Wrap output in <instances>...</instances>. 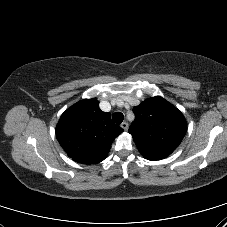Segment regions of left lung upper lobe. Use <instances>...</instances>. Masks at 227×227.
Segmentation results:
<instances>
[{
  "mask_svg": "<svg viewBox=\"0 0 227 227\" xmlns=\"http://www.w3.org/2000/svg\"><path fill=\"white\" fill-rule=\"evenodd\" d=\"M135 121L129 128L139 152L148 160L169 156L181 143L187 122L183 114L160 96L133 108Z\"/></svg>",
  "mask_w": 227,
  "mask_h": 227,
  "instance_id": "1",
  "label": "left lung upper lobe"
}]
</instances>
